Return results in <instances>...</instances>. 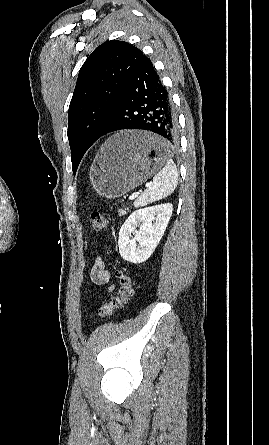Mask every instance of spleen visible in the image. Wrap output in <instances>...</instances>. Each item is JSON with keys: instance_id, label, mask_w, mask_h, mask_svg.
Here are the masks:
<instances>
[{"instance_id": "3e777b00", "label": "spleen", "mask_w": 269, "mask_h": 445, "mask_svg": "<svg viewBox=\"0 0 269 445\" xmlns=\"http://www.w3.org/2000/svg\"><path fill=\"white\" fill-rule=\"evenodd\" d=\"M177 183L176 165L171 159H167L164 168L153 177L151 185L134 202L135 207L145 206L169 196L175 190Z\"/></svg>"}]
</instances>
